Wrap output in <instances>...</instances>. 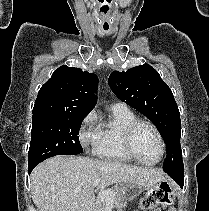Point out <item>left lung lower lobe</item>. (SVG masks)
Wrapping results in <instances>:
<instances>
[{"mask_svg": "<svg viewBox=\"0 0 209 211\" xmlns=\"http://www.w3.org/2000/svg\"><path fill=\"white\" fill-rule=\"evenodd\" d=\"M181 187L184 184V168L175 172H166Z\"/></svg>", "mask_w": 209, "mask_h": 211, "instance_id": "1", "label": "left lung lower lobe"}]
</instances>
